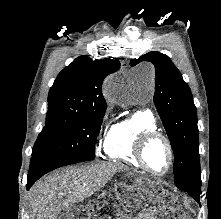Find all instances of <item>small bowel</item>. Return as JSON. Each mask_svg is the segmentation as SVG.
Returning a JSON list of instances; mask_svg holds the SVG:
<instances>
[{"label": "small bowel", "mask_w": 221, "mask_h": 219, "mask_svg": "<svg viewBox=\"0 0 221 219\" xmlns=\"http://www.w3.org/2000/svg\"><path fill=\"white\" fill-rule=\"evenodd\" d=\"M156 211L154 208H146L139 213V215L133 217L132 219H155Z\"/></svg>", "instance_id": "small-bowel-1"}]
</instances>
